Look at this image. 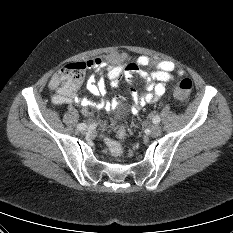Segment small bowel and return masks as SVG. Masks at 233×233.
<instances>
[{
  "label": "small bowel",
  "instance_id": "1",
  "mask_svg": "<svg viewBox=\"0 0 233 233\" xmlns=\"http://www.w3.org/2000/svg\"><path fill=\"white\" fill-rule=\"evenodd\" d=\"M87 66L90 69L106 70L108 78L113 84H116L122 75L126 77L138 75L144 83V88L138 91L135 87L130 88V93L133 101V111H138L142 106L154 102L162 97L167 91V83L173 79L176 73L182 75L183 71L172 61H156L148 56H139L133 62H127V57L123 53H112L104 58H93L87 61ZM152 67L151 72H146L143 69ZM87 90L94 96L104 97L107 93V88L104 82L92 76L87 81ZM49 87L55 90L52 97V103L56 106H62L72 103L80 104L84 115L90 113V107H105L114 108L118 104V100L103 101L95 103L87 97H80L77 91L65 93L54 82V78L49 81Z\"/></svg>",
  "mask_w": 233,
  "mask_h": 233
}]
</instances>
